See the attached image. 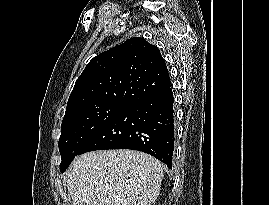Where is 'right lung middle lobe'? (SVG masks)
<instances>
[{"instance_id": "right-lung-middle-lobe-1", "label": "right lung middle lobe", "mask_w": 269, "mask_h": 205, "mask_svg": "<svg viewBox=\"0 0 269 205\" xmlns=\"http://www.w3.org/2000/svg\"><path fill=\"white\" fill-rule=\"evenodd\" d=\"M127 106L120 103H98L78 108L64 116L59 139L61 173L89 140Z\"/></svg>"}]
</instances>
